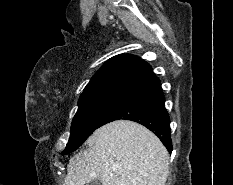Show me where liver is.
<instances>
[{
  "instance_id": "liver-1",
  "label": "liver",
  "mask_w": 233,
  "mask_h": 185,
  "mask_svg": "<svg viewBox=\"0 0 233 185\" xmlns=\"http://www.w3.org/2000/svg\"><path fill=\"white\" fill-rule=\"evenodd\" d=\"M87 150L69 160L63 185H165L169 154L146 127L129 120L108 123L87 139Z\"/></svg>"
}]
</instances>
